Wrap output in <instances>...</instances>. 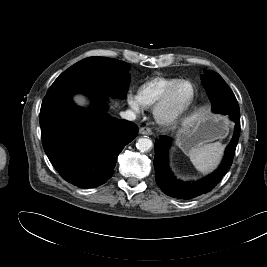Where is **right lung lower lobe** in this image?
Listing matches in <instances>:
<instances>
[{"label":"right lung lower lobe","instance_id":"1","mask_svg":"<svg viewBox=\"0 0 267 267\" xmlns=\"http://www.w3.org/2000/svg\"><path fill=\"white\" fill-rule=\"evenodd\" d=\"M75 93L90 96L92 108L74 104ZM105 98L95 91L72 90L41 105L44 151L63 179L80 188L105 183L113 175L119 153L138 134L133 122L107 113Z\"/></svg>","mask_w":267,"mask_h":267}]
</instances>
